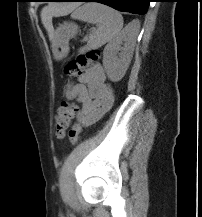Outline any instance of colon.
Segmentation results:
<instances>
[{
    "mask_svg": "<svg viewBox=\"0 0 202 217\" xmlns=\"http://www.w3.org/2000/svg\"><path fill=\"white\" fill-rule=\"evenodd\" d=\"M100 52L98 50H90L84 54L78 55L74 60L67 63L64 73L68 76H79L84 69L99 59ZM75 106L69 102H63L58 108L55 115V134L58 138H62L74 116ZM82 127L78 124L72 126L68 131L69 139L72 143H77L81 137Z\"/></svg>",
    "mask_w": 202,
    "mask_h": 217,
    "instance_id": "obj_1",
    "label": "colon"
}]
</instances>
